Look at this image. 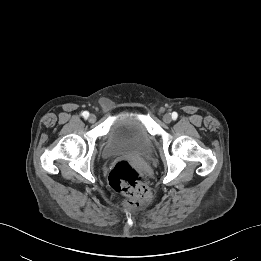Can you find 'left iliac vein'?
<instances>
[{"instance_id": "1", "label": "left iliac vein", "mask_w": 261, "mask_h": 261, "mask_svg": "<svg viewBox=\"0 0 261 261\" xmlns=\"http://www.w3.org/2000/svg\"><path fill=\"white\" fill-rule=\"evenodd\" d=\"M163 121H164L165 123H170V122L172 121V116H171V114H169V113L165 114V115L163 116Z\"/></svg>"}]
</instances>
